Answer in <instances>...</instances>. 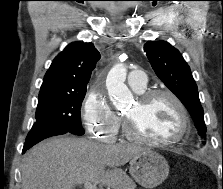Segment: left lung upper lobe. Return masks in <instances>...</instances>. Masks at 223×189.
Wrapping results in <instances>:
<instances>
[{
    "mask_svg": "<svg viewBox=\"0 0 223 189\" xmlns=\"http://www.w3.org/2000/svg\"><path fill=\"white\" fill-rule=\"evenodd\" d=\"M144 51L156 75L184 104L199 135L205 138L207 129L198 88L180 52L165 41H148L144 44Z\"/></svg>",
    "mask_w": 223,
    "mask_h": 189,
    "instance_id": "obj_1",
    "label": "left lung upper lobe"
}]
</instances>
